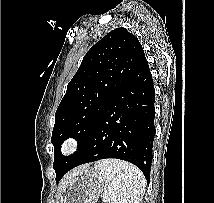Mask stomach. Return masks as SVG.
Returning <instances> with one entry per match:
<instances>
[{
    "instance_id": "obj_1",
    "label": "stomach",
    "mask_w": 214,
    "mask_h": 203,
    "mask_svg": "<svg viewBox=\"0 0 214 203\" xmlns=\"http://www.w3.org/2000/svg\"><path fill=\"white\" fill-rule=\"evenodd\" d=\"M105 177L90 166H83L59 196L58 203H96L105 189Z\"/></svg>"
}]
</instances>
